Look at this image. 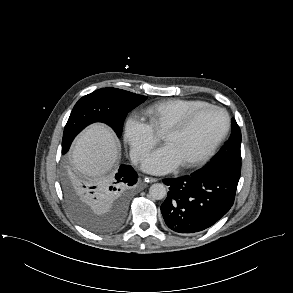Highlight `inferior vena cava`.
I'll return each instance as SVG.
<instances>
[{
    "label": "inferior vena cava",
    "mask_w": 293,
    "mask_h": 293,
    "mask_svg": "<svg viewBox=\"0 0 293 293\" xmlns=\"http://www.w3.org/2000/svg\"><path fill=\"white\" fill-rule=\"evenodd\" d=\"M134 161L136 162L137 161V158H135Z\"/></svg>",
    "instance_id": "obj_1"
}]
</instances>
